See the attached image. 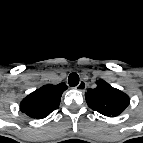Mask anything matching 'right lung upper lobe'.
Here are the masks:
<instances>
[{"instance_id": "1", "label": "right lung upper lobe", "mask_w": 143, "mask_h": 143, "mask_svg": "<svg viewBox=\"0 0 143 143\" xmlns=\"http://www.w3.org/2000/svg\"><path fill=\"white\" fill-rule=\"evenodd\" d=\"M66 89L64 83L44 85L21 101L20 110L31 118H45L59 107L61 95Z\"/></svg>"}]
</instances>
